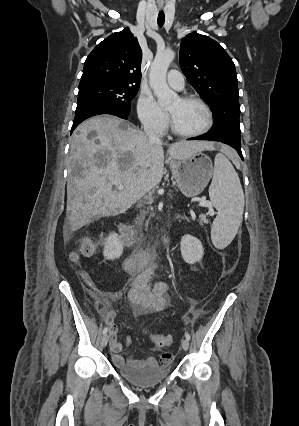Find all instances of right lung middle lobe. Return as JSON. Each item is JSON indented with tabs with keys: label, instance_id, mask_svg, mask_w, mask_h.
Listing matches in <instances>:
<instances>
[{
	"label": "right lung middle lobe",
	"instance_id": "1",
	"mask_svg": "<svg viewBox=\"0 0 299 426\" xmlns=\"http://www.w3.org/2000/svg\"><path fill=\"white\" fill-rule=\"evenodd\" d=\"M138 88L105 82L79 85L77 104L86 101H98L110 104L125 113H130L131 100L136 96Z\"/></svg>",
	"mask_w": 299,
	"mask_h": 426
}]
</instances>
